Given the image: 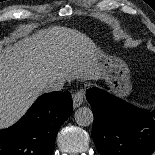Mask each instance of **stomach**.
<instances>
[{"label":"stomach","mask_w":155,"mask_h":155,"mask_svg":"<svg viewBox=\"0 0 155 155\" xmlns=\"http://www.w3.org/2000/svg\"><path fill=\"white\" fill-rule=\"evenodd\" d=\"M93 45L98 67L107 87L115 95L127 97L132 89L127 64L121 58L106 54L99 50L94 43Z\"/></svg>","instance_id":"stomach-1"}]
</instances>
